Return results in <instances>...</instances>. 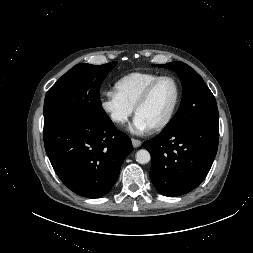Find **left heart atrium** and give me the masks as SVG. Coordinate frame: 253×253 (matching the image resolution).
<instances>
[{
	"label": "left heart atrium",
	"instance_id": "39dd6f15",
	"mask_svg": "<svg viewBox=\"0 0 253 253\" xmlns=\"http://www.w3.org/2000/svg\"><path fill=\"white\" fill-rule=\"evenodd\" d=\"M129 129L136 134L149 132L151 128L138 116H136Z\"/></svg>",
	"mask_w": 253,
	"mask_h": 253
}]
</instances>
